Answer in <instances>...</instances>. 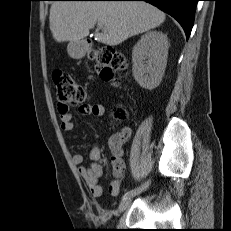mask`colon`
Here are the masks:
<instances>
[{
  "instance_id": "5ec220e1",
  "label": "colon",
  "mask_w": 231,
  "mask_h": 231,
  "mask_svg": "<svg viewBox=\"0 0 231 231\" xmlns=\"http://www.w3.org/2000/svg\"><path fill=\"white\" fill-rule=\"evenodd\" d=\"M91 56L101 67V78L117 85L118 80L114 76L116 71L123 70L126 67L124 54L111 46H105L95 50ZM53 80L57 90L58 102L63 112L67 111L70 106L81 105L86 101L85 89L66 71H54ZM113 115L115 119L121 120L125 118L126 112L123 108L118 107L114 109Z\"/></svg>"
}]
</instances>
